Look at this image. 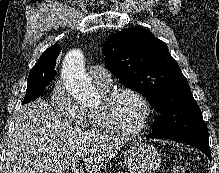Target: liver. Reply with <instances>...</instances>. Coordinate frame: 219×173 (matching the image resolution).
<instances>
[{
	"mask_svg": "<svg viewBox=\"0 0 219 173\" xmlns=\"http://www.w3.org/2000/svg\"><path fill=\"white\" fill-rule=\"evenodd\" d=\"M122 144V138L71 125L39 98L15 116L5 173H65L81 160L87 173H101Z\"/></svg>",
	"mask_w": 219,
	"mask_h": 173,
	"instance_id": "obj_1",
	"label": "liver"
}]
</instances>
